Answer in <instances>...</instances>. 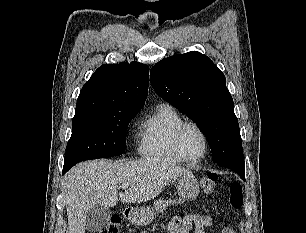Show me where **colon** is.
Here are the masks:
<instances>
[{"instance_id":"colon-1","label":"colon","mask_w":306,"mask_h":233,"mask_svg":"<svg viewBox=\"0 0 306 233\" xmlns=\"http://www.w3.org/2000/svg\"><path fill=\"white\" fill-rule=\"evenodd\" d=\"M217 176L213 173L207 174L201 180V187L206 193H211L214 190ZM230 204L234 208H240L243 204L242 185L239 182H234L230 187ZM120 218L113 215L109 218L106 225L97 233H119Z\"/></svg>"}]
</instances>
